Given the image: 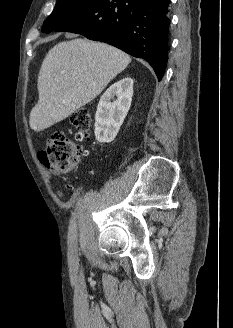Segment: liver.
Wrapping results in <instances>:
<instances>
[{
    "label": "liver",
    "mask_w": 233,
    "mask_h": 328,
    "mask_svg": "<svg viewBox=\"0 0 233 328\" xmlns=\"http://www.w3.org/2000/svg\"><path fill=\"white\" fill-rule=\"evenodd\" d=\"M130 62L129 55L105 43L81 38L58 43L41 65L30 127L43 131L66 119L97 97Z\"/></svg>",
    "instance_id": "6515ba94"
}]
</instances>
